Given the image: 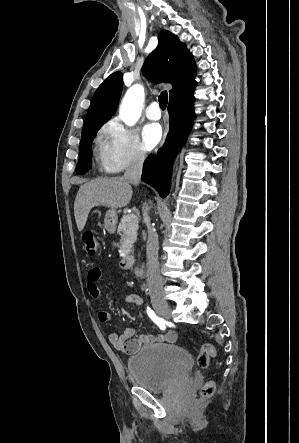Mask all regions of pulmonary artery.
<instances>
[{
  "label": "pulmonary artery",
  "mask_w": 299,
  "mask_h": 443,
  "mask_svg": "<svg viewBox=\"0 0 299 443\" xmlns=\"http://www.w3.org/2000/svg\"><path fill=\"white\" fill-rule=\"evenodd\" d=\"M146 117L150 120H159L161 118V111L157 101H153L149 104L146 109Z\"/></svg>",
  "instance_id": "1"
}]
</instances>
